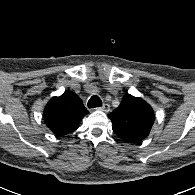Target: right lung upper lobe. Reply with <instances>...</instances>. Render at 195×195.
<instances>
[{"label": "right lung upper lobe", "mask_w": 195, "mask_h": 195, "mask_svg": "<svg viewBox=\"0 0 195 195\" xmlns=\"http://www.w3.org/2000/svg\"><path fill=\"white\" fill-rule=\"evenodd\" d=\"M86 114L80 97L68 92L50 99L44 109V120L54 134L64 136L76 130Z\"/></svg>", "instance_id": "obj_1"}]
</instances>
